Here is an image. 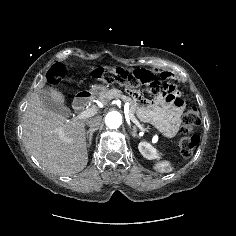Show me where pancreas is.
I'll return each instance as SVG.
<instances>
[{"mask_svg": "<svg viewBox=\"0 0 236 236\" xmlns=\"http://www.w3.org/2000/svg\"><path fill=\"white\" fill-rule=\"evenodd\" d=\"M122 99L123 101H129L130 102V111L135 114L138 109L137 103L129 98L128 96L122 94V92L118 89H111L106 91L103 95H101L100 99L102 102H108L111 99ZM149 127H143V131H149Z\"/></svg>", "mask_w": 236, "mask_h": 236, "instance_id": "pancreas-1", "label": "pancreas"}]
</instances>
